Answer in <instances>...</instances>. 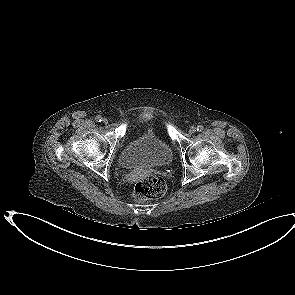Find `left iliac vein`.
<instances>
[{
	"label": "left iliac vein",
	"mask_w": 295,
	"mask_h": 295,
	"mask_svg": "<svg viewBox=\"0 0 295 295\" xmlns=\"http://www.w3.org/2000/svg\"><path fill=\"white\" fill-rule=\"evenodd\" d=\"M196 132V127H191L190 129H189V133L190 134H193V133H195Z\"/></svg>",
	"instance_id": "4c4485c4"
}]
</instances>
